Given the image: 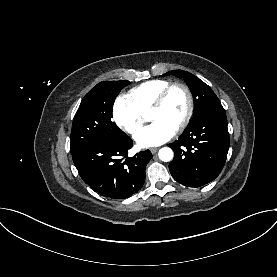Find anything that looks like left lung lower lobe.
<instances>
[{"mask_svg": "<svg viewBox=\"0 0 277 277\" xmlns=\"http://www.w3.org/2000/svg\"><path fill=\"white\" fill-rule=\"evenodd\" d=\"M169 146L175 154L169 170L177 182L200 187L213 181L223 169L229 149L227 118L222 105L212 107L191 122Z\"/></svg>", "mask_w": 277, "mask_h": 277, "instance_id": "0a47b994", "label": "left lung lower lobe"}]
</instances>
